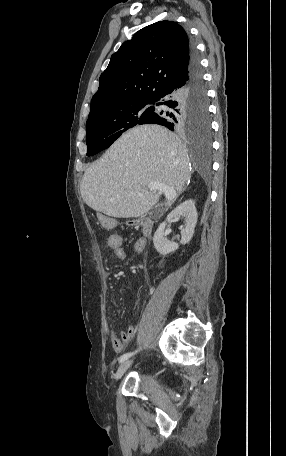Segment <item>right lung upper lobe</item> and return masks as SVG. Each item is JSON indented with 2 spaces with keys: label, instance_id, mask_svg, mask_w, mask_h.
Wrapping results in <instances>:
<instances>
[{
  "label": "right lung upper lobe",
  "instance_id": "cb5924a9",
  "mask_svg": "<svg viewBox=\"0 0 286 456\" xmlns=\"http://www.w3.org/2000/svg\"><path fill=\"white\" fill-rule=\"evenodd\" d=\"M193 46L178 23L160 21L135 33L112 55L91 100L88 118L127 101L152 100L184 79Z\"/></svg>",
  "mask_w": 286,
  "mask_h": 456
}]
</instances>
